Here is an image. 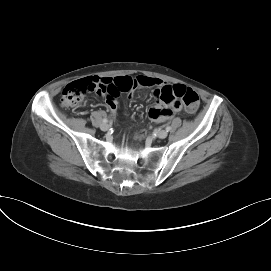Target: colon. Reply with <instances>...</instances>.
<instances>
[{
	"label": "colon",
	"instance_id": "1",
	"mask_svg": "<svg viewBox=\"0 0 271 271\" xmlns=\"http://www.w3.org/2000/svg\"><path fill=\"white\" fill-rule=\"evenodd\" d=\"M97 82L98 81L96 80L85 78L68 84L62 92L60 105L64 108H81L84 105L87 93L99 94L96 89ZM161 97L168 103L174 100L182 102L187 111L191 113L194 112L199 105V96L197 92L179 84L164 87L162 89Z\"/></svg>",
	"mask_w": 271,
	"mask_h": 271
}]
</instances>
